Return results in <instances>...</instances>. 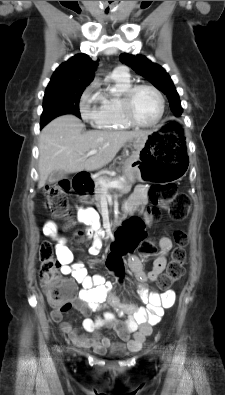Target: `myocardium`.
Segmentation results:
<instances>
[{
    "instance_id": "1",
    "label": "myocardium",
    "mask_w": 225,
    "mask_h": 395,
    "mask_svg": "<svg viewBox=\"0 0 225 395\" xmlns=\"http://www.w3.org/2000/svg\"><path fill=\"white\" fill-rule=\"evenodd\" d=\"M140 89H148V90L152 91L158 98L159 105H160V111H159V115H158L157 119L152 123H141L135 118V116L133 114V111H132L133 98H134L135 94ZM120 103H121L122 115H123L125 121L134 127H139V128L155 127L161 122V120L164 116V113H165V100H164L162 93L160 92V90L158 88H156L155 86L150 85V84L141 83V84L131 85L129 88H127L122 93Z\"/></svg>"
}]
</instances>
